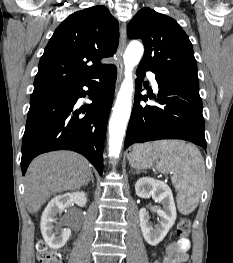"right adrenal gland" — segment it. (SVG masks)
Returning a JSON list of instances; mask_svg holds the SVG:
<instances>
[{
  "label": "right adrenal gland",
  "mask_w": 233,
  "mask_h": 263,
  "mask_svg": "<svg viewBox=\"0 0 233 263\" xmlns=\"http://www.w3.org/2000/svg\"><path fill=\"white\" fill-rule=\"evenodd\" d=\"M91 182H92V184H94V177H93V174L91 175Z\"/></svg>",
  "instance_id": "right-adrenal-gland-1"
}]
</instances>
